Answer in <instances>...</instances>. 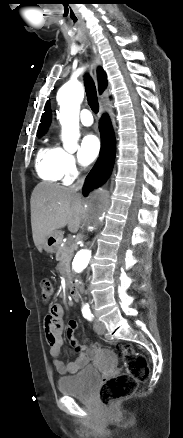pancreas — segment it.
Instances as JSON below:
<instances>
[{
  "label": "pancreas",
  "mask_w": 183,
  "mask_h": 438,
  "mask_svg": "<svg viewBox=\"0 0 183 438\" xmlns=\"http://www.w3.org/2000/svg\"><path fill=\"white\" fill-rule=\"evenodd\" d=\"M73 246L70 242H66L64 246H59L56 252V259L61 263V269L68 271L70 262L73 257Z\"/></svg>",
  "instance_id": "pancreas-1"
}]
</instances>
